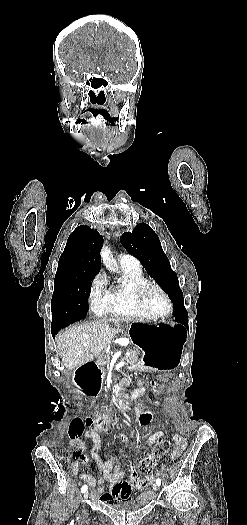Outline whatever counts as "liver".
I'll return each instance as SVG.
<instances>
[{
    "mask_svg": "<svg viewBox=\"0 0 247 525\" xmlns=\"http://www.w3.org/2000/svg\"><path fill=\"white\" fill-rule=\"evenodd\" d=\"M119 325L109 319H99L93 323H83L68 327L64 333L55 337L56 345L61 355L64 367L74 371L77 367L93 361L102 351L107 349L114 335L118 333Z\"/></svg>",
    "mask_w": 247,
    "mask_h": 525,
    "instance_id": "obj_1",
    "label": "liver"
}]
</instances>
